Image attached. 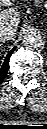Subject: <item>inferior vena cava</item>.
<instances>
[{
	"instance_id": "602c4592",
	"label": "inferior vena cava",
	"mask_w": 47,
	"mask_h": 129,
	"mask_svg": "<svg viewBox=\"0 0 47 129\" xmlns=\"http://www.w3.org/2000/svg\"><path fill=\"white\" fill-rule=\"evenodd\" d=\"M16 30L11 26H2L0 28V40L6 41L11 40L15 37Z\"/></svg>"
}]
</instances>
